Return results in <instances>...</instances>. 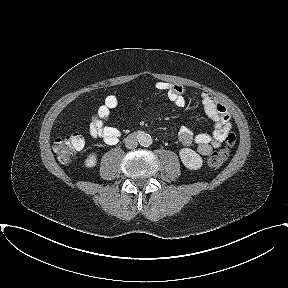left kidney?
<instances>
[{"mask_svg":"<svg viewBox=\"0 0 288 288\" xmlns=\"http://www.w3.org/2000/svg\"><path fill=\"white\" fill-rule=\"evenodd\" d=\"M179 156L184 166L190 170H198L203 165L201 156L190 148L181 149Z\"/></svg>","mask_w":288,"mask_h":288,"instance_id":"obj_1","label":"left kidney"}]
</instances>
